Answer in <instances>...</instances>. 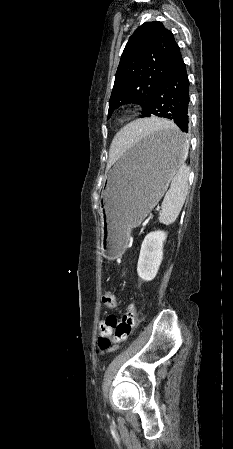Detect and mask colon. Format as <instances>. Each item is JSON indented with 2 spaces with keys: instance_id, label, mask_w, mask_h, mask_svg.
Here are the masks:
<instances>
[{
  "instance_id": "5ec220e1",
  "label": "colon",
  "mask_w": 233,
  "mask_h": 449,
  "mask_svg": "<svg viewBox=\"0 0 233 449\" xmlns=\"http://www.w3.org/2000/svg\"><path fill=\"white\" fill-rule=\"evenodd\" d=\"M102 302L106 308L114 310L117 307L116 296L113 291H107L102 297ZM137 320V306L131 303L122 318L115 315H109L105 321V327L101 331L99 337V345L101 349H107L113 343H121L127 340L131 335Z\"/></svg>"
}]
</instances>
